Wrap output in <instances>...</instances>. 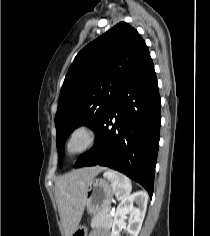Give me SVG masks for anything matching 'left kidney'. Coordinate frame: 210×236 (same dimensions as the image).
<instances>
[{"label":"left kidney","instance_id":"obj_1","mask_svg":"<svg viewBox=\"0 0 210 236\" xmlns=\"http://www.w3.org/2000/svg\"><path fill=\"white\" fill-rule=\"evenodd\" d=\"M134 203L138 207H134ZM148 203V195L144 191H138L129 195L118 205L114 215L111 236H120V230L126 228L129 236H138L145 217ZM129 215L128 225L125 219Z\"/></svg>","mask_w":210,"mask_h":236}]
</instances>
